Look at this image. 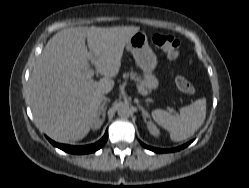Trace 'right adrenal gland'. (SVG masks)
<instances>
[{
    "mask_svg": "<svg viewBox=\"0 0 249 188\" xmlns=\"http://www.w3.org/2000/svg\"><path fill=\"white\" fill-rule=\"evenodd\" d=\"M109 101V99H106L103 103H102V105L100 106V108H99V112H98V114L99 115H102V121H104V119H105V112H106V103Z\"/></svg>",
    "mask_w": 249,
    "mask_h": 188,
    "instance_id": "obj_1",
    "label": "right adrenal gland"
}]
</instances>
